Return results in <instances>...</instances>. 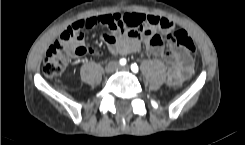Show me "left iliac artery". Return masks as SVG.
<instances>
[{"label":"left iliac artery","mask_w":245,"mask_h":145,"mask_svg":"<svg viewBox=\"0 0 245 145\" xmlns=\"http://www.w3.org/2000/svg\"><path fill=\"white\" fill-rule=\"evenodd\" d=\"M131 70H132L134 73H137V72H138V66H137L136 63H133V64L131 65Z\"/></svg>","instance_id":"44dca946"}]
</instances>
